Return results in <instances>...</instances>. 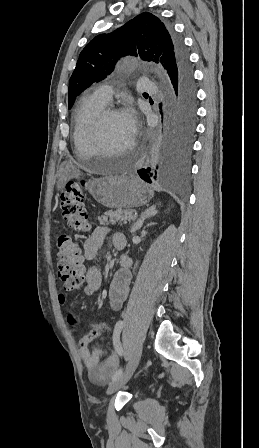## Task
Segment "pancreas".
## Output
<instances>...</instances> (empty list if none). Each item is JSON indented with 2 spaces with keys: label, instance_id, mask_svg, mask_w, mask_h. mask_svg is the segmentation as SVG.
I'll return each instance as SVG.
<instances>
[{
  "label": "pancreas",
  "instance_id": "cf45deb5",
  "mask_svg": "<svg viewBox=\"0 0 259 448\" xmlns=\"http://www.w3.org/2000/svg\"><path fill=\"white\" fill-rule=\"evenodd\" d=\"M128 217L133 218L130 210H115V212L109 210V212H105L104 216L99 218V222L102 226H109V224H116V222L122 226V222H125Z\"/></svg>",
  "mask_w": 259,
  "mask_h": 448
}]
</instances>
